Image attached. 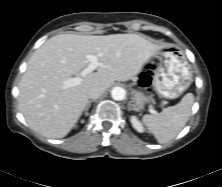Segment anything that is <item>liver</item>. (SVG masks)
<instances>
[{"label": "liver", "instance_id": "obj_1", "mask_svg": "<svg viewBox=\"0 0 222 187\" xmlns=\"http://www.w3.org/2000/svg\"><path fill=\"white\" fill-rule=\"evenodd\" d=\"M162 44L137 34L104 36L61 34L48 39L31 56L19 84V110L27 124L47 138H62L75 126L94 86L105 89L137 75ZM86 55L103 64L64 89L71 76L89 65Z\"/></svg>", "mask_w": 222, "mask_h": 187}]
</instances>
